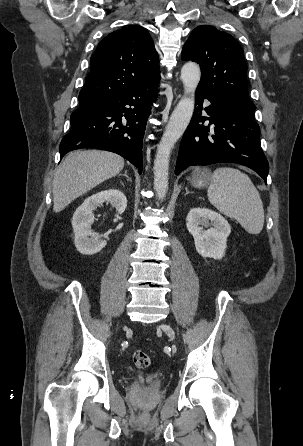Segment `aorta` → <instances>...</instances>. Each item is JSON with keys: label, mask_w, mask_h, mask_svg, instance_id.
Wrapping results in <instances>:
<instances>
[{"label": "aorta", "mask_w": 303, "mask_h": 446, "mask_svg": "<svg viewBox=\"0 0 303 446\" xmlns=\"http://www.w3.org/2000/svg\"><path fill=\"white\" fill-rule=\"evenodd\" d=\"M201 72L197 64L188 62L181 69L184 96L180 99L158 144L154 160V189L159 200H163L168 190L169 159L175 143L183 135L192 118L195 105V90Z\"/></svg>", "instance_id": "obj_1"}]
</instances>
